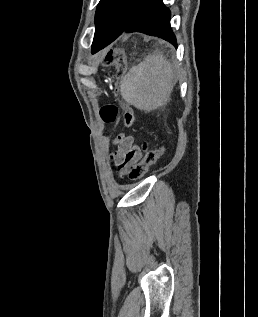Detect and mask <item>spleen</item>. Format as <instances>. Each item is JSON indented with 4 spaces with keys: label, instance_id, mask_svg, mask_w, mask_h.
<instances>
[{
    "label": "spleen",
    "instance_id": "obj_1",
    "mask_svg": "<svg viewBox=\"0 0 258 317\" xmlns=\"http://www.w3.org/2000/svg\"><path fill=\"white\" fill-rule=\"evenodd\" d=\"M167 58L159 52L146 56L143 62L132 66L121 82V94L126 102L140 110H154L170 100L177 82Z\"/></svg>",
    "mask_w": 258,
    "mask_h": 317
}]
</instances>
